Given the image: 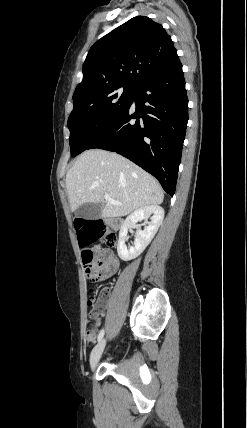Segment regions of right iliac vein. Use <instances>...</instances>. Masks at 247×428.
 Wrapping results in <instances>:
<instances>
[{"instance_id":"obj_1","label":"right iliac vein","mask_w":247,"mask_h":428,"mask_svg":"<svg viewBox=\"0 0 247 428\" xmlns=\"http://www.w3.org/2000/svg\"><path fill=\"white\" fill-rule=\"evenodd\" d=\"M105 345H106V340L103 339L92 350L90 355V366L92 369L95 368V366L99 362L101 355L104 351Z\"/></svg>"}]
</instances>
